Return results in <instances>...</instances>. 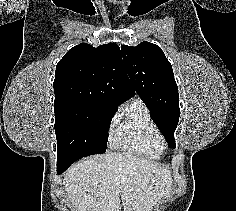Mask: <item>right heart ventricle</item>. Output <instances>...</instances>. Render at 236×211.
I'll list each match as a JSON object with an SVG mask.
<instances>
[{"instance_id":"obj_1","label":"right heart ventricle","mask_w":236,"mask_h":211,"mask_svg":"<svg viewBox=\"0 0 236 211\" xmlns=\"http://www.w3.org/2000/svg\"><path fill=\"white\" fill-rule=\"evenodd\" d=\"M162 139L145 103L132 98L118 115L111 134V145L118 150L157 160L162 154Z\"/></svg>"}]
</instances>
